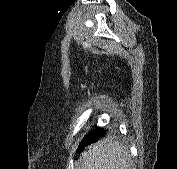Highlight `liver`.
<instances>
[{
    "mask_svg": "<svg viewBox=\"0 0 177 169\" xmlns=\"http://www.w3.org/2000/svg\"><path fill=\"white\" fill-rule=\"evenodd\" d=\"M76 169H133L126 148L117 141L88 146L80 155Z\"/></svg>",
    "mask_w": 177,
    "mask_h": 169,
    "instance_id": "1",
    "label": "liver"
}]
</instances>
